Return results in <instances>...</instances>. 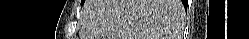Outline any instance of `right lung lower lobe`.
Segmentation results:
<instances>
[{
	"instance_id": "1",
	"label": "right lung lower lobe",
	"mask_w": 249,
	"mask_h": 39,
	"mask_svg": "<svg viewBox=\"0 0 249 39\" xmlns=\"http://www.w3.org/2000/svg\"><path fill=\"white\" fill-rule=\"evenodd\" d=\"M186 5H187V4H186V2H184V6H185V8H186Z\"/></svg>"
}]
</instances>
